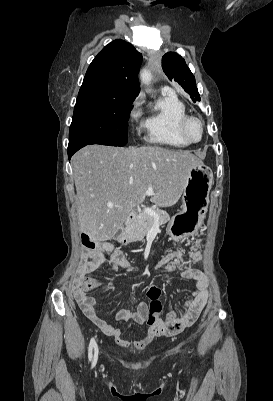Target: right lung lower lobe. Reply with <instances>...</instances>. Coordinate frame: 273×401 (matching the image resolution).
<instances>
[{"instance_id": "98d812e1", "label": "right lung lower lobe", "mask_w": 273, "mask_h": 401, "mask_svg": "<svg viewBox=\"0 0 273 401\" xmlns=\"http://www.w3.org/2000/svg\"><path fill=\"white\" fill-rule=\"evenodd\" d=\"M91 143H86V142H82V143H73V144H69L68 145V156L69 159L71 158V156L77 152L79 149H81L82 147L89 145Z\"/></svg>"}]
</instances>
